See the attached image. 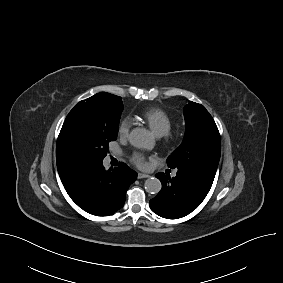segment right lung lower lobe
<instances>
[{
  "label": "right lung lower lobe",
  "mask_w": 283,
  "mask_h": 283,
  "mask_svg": "<svg viewBox=\"0 0 283 283\" xmlns=\"http://www.w3.org/2000/svg\"><path fill=\"white\" fill-rule=\"evenodd\" d=\"M59 175L71 199L96 216L111 215L122 208L127 188L137 179V173L124 163L105 170L102 161L72 164Z\"/></svg>",
  "instance_id": "1"
}]
</instances>
